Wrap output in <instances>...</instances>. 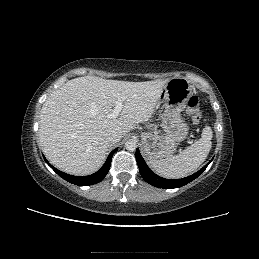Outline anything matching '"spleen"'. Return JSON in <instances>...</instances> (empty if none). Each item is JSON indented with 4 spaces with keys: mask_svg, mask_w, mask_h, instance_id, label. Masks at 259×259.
<instances>
[{
    "mask_svg": "<svg viewBox=\"0 0 259 259\" xmlns=\"http://www.w3.org/2000/svg\"><path fill=\"white\" fill-rule=\"evenodd\" d=\"M213 132L206 126L201 138L178 155L166 159L150 160L151 167L161 176L177 179L194 172L207 158L212 147Z\"/></svg>",
    "mask_w": 259,
    "mask_h": 259,
    "instance_id": "3e777b00",
    "label": "spleen"
}]
</instances>
